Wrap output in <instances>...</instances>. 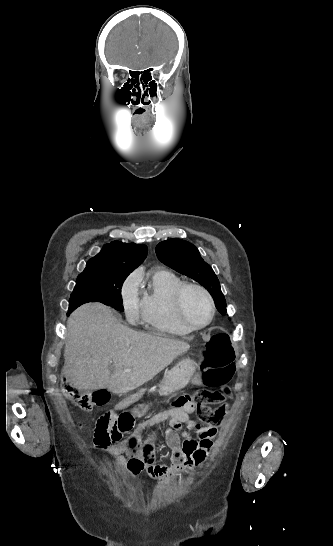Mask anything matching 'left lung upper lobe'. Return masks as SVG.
<instances>
[{
  "mask_svg": "<svg viewBox=\"0 0 333 546\" xmlns=\"http://www.w3.org/2000/svg\"><path fill=\"white\" fill-rule=\"evenodd\" d=\"M156 254L162 263L205 287L213 297L218 311L223 316L226 314V302L219 280L193 244L181 239H169L156 246Z\"/></svg>",
  "mask_w": 333,
  "mask_h": 546,
  "instance_id": "obj_1",
  "label": "left lung upper lobe"
}]
</instances>
